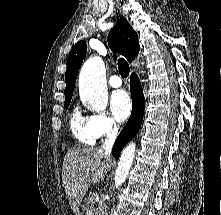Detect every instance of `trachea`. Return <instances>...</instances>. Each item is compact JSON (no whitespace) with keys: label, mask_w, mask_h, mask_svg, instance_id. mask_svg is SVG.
Instances as JSON below:
<instances>
[{"label":"trachea","mask_w":221,"mask_h":215,"mask_svg":"<svg viewBox=\"0 0 221 215\" xmlns=\"http://www.w3.org/2000/svg\"><path fill=\"white\" fill-rule=\"evenodd\" d=\"M118 69H119L120 75L123 78H127L128 77L130 68H129L128 62L125 59L120 58L118 60Z\"/></svg>","instance_id":"obj_1"}]
</instances>
